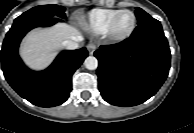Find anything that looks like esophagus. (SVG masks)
I'll return each instance as SVG.
<instances>
[{
  "label": "esophagus",
  "instance_id": "34e87169",
  "mask_svg": "<svg viewBox=\"0 0 194 133\" xmlns=\"http://www.w3.org/2000/svg\"><path fill=\"white\" fill-rule=\"evenodd\" d=\"M87 50H88V52H89L90 55H93V53H94L95 50H96V45L93 44V43H89V44L87 45Z\"/></svg>",
  "mask_w": 194,
  "mask_h": 133
}]
</instances>
